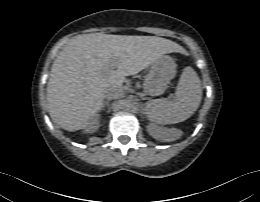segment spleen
<instances>
[{
	"mask_svg": "<svg viewBox=\"0 0 260 202\" xmlns=\"http://www.w3.org/2000/svg\"><path fill=\"white\" fill-rule=\"evenodd\" d=\"M201 98L200 79L191 67H186L180 76L174 100H150L146 103V114L150 120L159 124L179 123L197 110Z\"/></svg>",
	"mask_w": 260,
	"mask_h": 202,
	"instance_id": "3e777b00",
	"label": "spleen"
}]
</instances>
